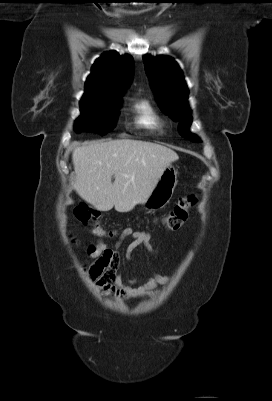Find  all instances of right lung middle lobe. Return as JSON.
<instances>
[{"label":"right lung middle lobe","mask_w":272,"mask_h":401,"mask_svg":"<svg viewBox=\"0 0 272 401\" xmlns=\"http://www.w3.org/2000/svg\"><path fill=\"white\" fill-rule=\"evenodd\" d=\"M121 93H105L81 99V115L75 122L77 131L107 134L112 130L119 114Z\"/></svg>","instance_id":"dd1d6c3e"}]
</instances>
